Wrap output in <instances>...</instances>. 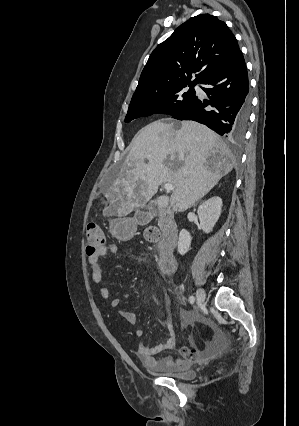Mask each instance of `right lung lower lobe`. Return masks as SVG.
Segmentation results:
<instances>
[{
	"label": "right lung lower lobe",
	"mask_w": 299,
	"mask_h": 426,
	"mask_svg": "<svg viewBox=\"0 0 299 426\" xmlns=\"http://www.w3.org/2000/svg\"><path fill=\"white\" fill-rule=\"evenodd\" d=\"M201 84L209 100L195 95L172 116L205 124L226 137H242L250 113L248 75L242 53L226 67L206 77Z\"/></svg>",
	"instance_id": "right-lung-lower-lobe-1"
}]
</instances>
